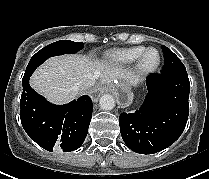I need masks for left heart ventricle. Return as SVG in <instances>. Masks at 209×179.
Returning <instances> with one entry per match:
<instances>
[{
	"label": "left heart ventricle",
	"instance_id": "1",
	"mask_svg": "<svg viewBox=\"0 0 209 179\" xmlns=\"http://www.w3.org/2000/svg\"><path fill=\"white\" fill-rule=\"evenodd\" d=\"M157 59H158L157 53L155 51H150L146 55L144 62L147 66H151L156 63Z\"/></svg>",
	"mask_w": 209,
	"mask_h": 179
}]
</instances>
